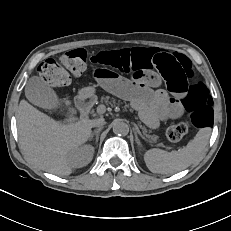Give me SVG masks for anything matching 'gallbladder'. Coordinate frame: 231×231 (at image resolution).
Returning a JSON list of instances; mask_svg holds the SVG:
<instances>
[{
    "label": "gallbladder",
    "mask_w": 231,
    "mask_h": 231,
    "mask_svg": "<svg viewBox=\"0 0 231 231\" xmlns=\"http://www.w3.org/2000/svg\"><path fill=\"white\" fill-rule=\"evenodd\" d=\"M25 95L32 104L41 108L52 107L58 103L54 90L37 76L29 79L25 87Z\"/></svg>",
    "instance_id": "gallbladder-1"
}]
</instances>
